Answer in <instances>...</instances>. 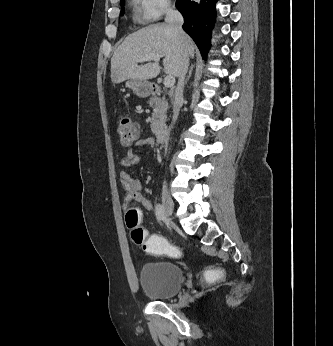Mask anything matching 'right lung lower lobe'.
Returning a JSON list of instances; mask_svg holds the SVG:
<instances>
[{"instance_id": "1", "label": "right lung lower lobe", "mask_w": 333, "mask_h": 346, "mask_svg": "<svg viewBox=\"0 0 333 346\" xmlns=\"http://www.w3.org/2000/svg\"><path fill=\"white\" fill-rule=\"evenodd\" d=\"M218 0H177L176 7L185 18L184 31L195 41L205 59L210 48L211 31L214 27Z\"/></svg>"}]
</instances>
